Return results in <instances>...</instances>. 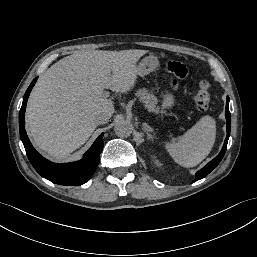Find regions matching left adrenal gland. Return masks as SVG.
<instances>
[{
  "label": "left adrenal gland",
  "instance_id": "1",
  "mask_svg": "<svg viewBox=\"0 0 257 257\" xmlns=\"http://www.w3.org/2000/svg\"><path fill=\"white\" fill-rule=\"evenodd\" d=\"M142 127H143L144 132H146V134H147V138H148V139H153V135L150 134V131H153V130H152V129H149V128L147 127L146 123H143V124H142Z\"/></svg>",
  "mask_w": 257,
  "mask_h": 257
}]
</instances>
